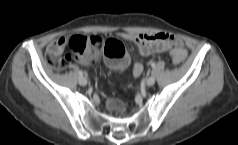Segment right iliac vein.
I'll return each instance as SVG.
<instances>
[{
	"mask_svg": "<svg viewBox=\"0 0 238 145\" xmlns=\"http://www.w3.org/2000/svg\"><path fill=\"white\" fill-rule=\"evenodd\" d=\"M79 84L83 85V86L86 85L87 84V79L85 77L81 76L79 78Z\"/></svg>",
	"mask_w": 238,
	"mask_h": 145,
	"instance_id": "right-iliac-vein-1",
	"label": "right iliac vein"
}]
</instances>
